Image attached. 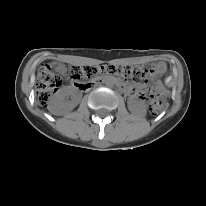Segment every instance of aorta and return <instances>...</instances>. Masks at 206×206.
I'll list each match as a JSON object with an SVG mask.
<instances>
[{"mask_svg":"<svg viewBox=\"0 0 206 206\" xmlns=\"http://www.w3.org/2000/svg\"><path fill=\"white\" fill-rule=\"evenodd\" d=\"M105 84L107 87H113L114 86V82L111 78H107L105 81Z\"/></svg>","mask_w":206,"mask_h":206,"instance_id":"762f6f07","label":"aorta"}]
</instances>
